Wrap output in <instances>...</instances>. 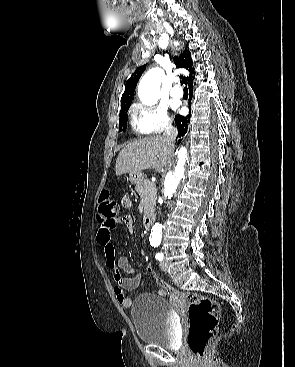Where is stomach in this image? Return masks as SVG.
I'll use <instances>...</instances> for the list:
<instances>
[{
  "instance_id": "obj_1",
  "label": "stomach",
  "mask_w": 295,
  "mask_h": 367,
  "mask_svg": "<svg viewBox=\"0 0 295 367\" xmlns=\"http://www.w3.org/2000/svg\"><path fill=\"white\" fill-rule=\"evenodd\" d=\"M129 179L132 184H139L143 181V173L142 172H132L129 174Z\"/></svg>"
}]
</instances>
